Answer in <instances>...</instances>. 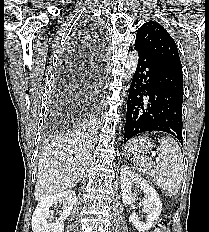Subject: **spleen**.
<instances>
[{
	"label": "spleen",
	"instance_id": "1",
	"mask_svg": "<svg viewBox=\"0 0 209 232\" xmlns=\"http://www.w3.org/2000/svg\"><path fill=\"white\" fill-rule=\"evenodd\" d=\"M157 151L162 159L160 162L155 163L140 155H133V161L138 170L153 178L168 196H175L179 192L184 174L181 149L173 138L164 137Z\"/></svg>",
	"mask_w": 209,
	"mask_h": 232
}]
</instances>
